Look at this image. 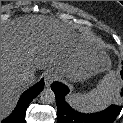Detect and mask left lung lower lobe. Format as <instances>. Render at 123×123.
I'll list each match as a JSON object with an SVG mask.
<instances>
[{
  "instance_id": "left-lung-lower-lobe-1",
  "label": "left lung lower lobe",
  "mask_w": 123,
  "mask_h": 123,
  "mask_svg": "<svg viewBox=\"0 0 123 123\" xmlns=\"http://www.w3.org/2000/svg\"><path fill=\"white\" fill-rule=\"evenodd\" d=\"M121 77L123 79V70L121 71ZM51 89L56 97L58 123H113L123 107V105H111L98 113H79L73 110L65 101V96L69 93L67 86L60 82H53Z\"/></svg>"
}]
</instances>
